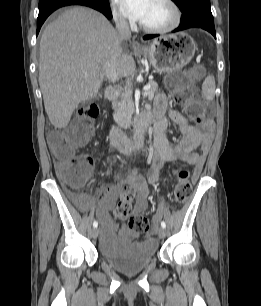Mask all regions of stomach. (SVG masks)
<instances>
[{"label": "stomach", "instance_id": "0dacf381", "mask_svg": "<svg viewBox=\"0 0 261 306\" xmlns=\"http://www.w3.org/2000/svg\"><path fill=\"white\" fill-rule=\"evenodd\" d=\"M197 45L185 32L160 36L137 53L148 59L158 73L180 70L193 58Z\"/></svg>", "mask_w": 261, "mask_h": 306}]
</instances>
